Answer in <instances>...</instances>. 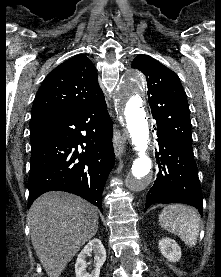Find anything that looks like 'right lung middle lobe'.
Wrapping results in <instances>:
<instances>
[{"instance_id":"obj_1","label":"right lung middle lobe","mask_w":221,"mask_h":277,"mask_svg":"<svg viewBox=\"0 0 221 277\" xmlns=\"http://www.w3.org/2000/svg\"><path fill=\"white\" fill-rule=\"evenodd\" d=\"M31 130V129H30ZM35 136H37V132L31 130V139L34 138Z\"/></svg>"}]
</instances>
